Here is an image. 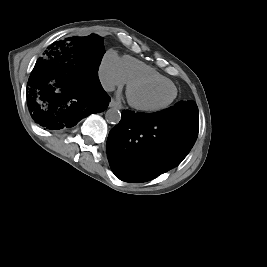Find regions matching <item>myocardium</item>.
Masks as SVG:
<instances>
[{
    "label": "myocardium",
    "instance_id": "1",
    "mask_svg": "<svg viewBox=\"0 0 267 267\" xmlns=\"http://www.w3.org/2000/svg\"><path fill=\"white\" fill-rule=\"evenodd\" d=\"M148 84H168V85H171L174 88V95H173L172 99L170 101H168L167 103L160 105V106H146V105H142V104L136 102L131 97L132 89L134 87H137V86L148 85ZM177 96H178V89L175 86V84L171 81L167 82V81H161V80L152 79V78H140V79H134V80L129 81L128 85H127V97H128L129 104L133 108H135L139 111H143V112H157V111L164 110L173 104V102L176 100Z\"/></svg>",
    "mask_w": 267,
    "mask_h": 267
}]
</instances>
